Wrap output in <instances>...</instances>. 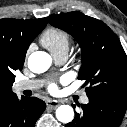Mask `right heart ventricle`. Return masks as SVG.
I'll return each mask as SVG.
<instances>
[{
	"label": "right heart ventricle",
	"instance_id": "right-heart-ventricle-1",
	"mask_svg": "<svg viewBox=\"0 0 127 127\" xmlns=\"http://www.w3.org/2000/svg\"><path fill=\"white\" fill-rule=\"evenodd\" d=\"M41 44L55 57L68 52L70 45L69 34L57 27L47 28L40 37Z\"/></svg>",
	"mask_w": 127,
	"mask_h": 127
}]
</instances>
